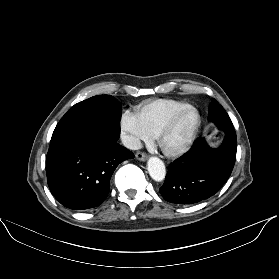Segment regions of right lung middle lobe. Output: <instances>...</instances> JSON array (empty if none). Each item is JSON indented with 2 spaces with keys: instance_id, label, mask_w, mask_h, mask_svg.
I'll return each mask as SVG.
<instances>
[{
  "instance_id": "1",
  "label": "right lung middle lobe",
  "mask_w": 279,
  "mask_h": 279,
  "mask_svg": "<svg viewBox=\"0 0 279 279\" xmlns=\"http://www.w3.org/2000/svg\"><path fill=\"white\" fill-rule=\"evenodd\" d=\"M120 103L110 95H97L71 107L57 124L52 137L64 135L78 128L102 121L119 120Z\"/></svg>"
}]
</instances>
